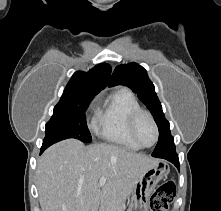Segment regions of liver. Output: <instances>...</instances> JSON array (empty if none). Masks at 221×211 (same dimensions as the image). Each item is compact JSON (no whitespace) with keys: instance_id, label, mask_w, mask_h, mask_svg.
I'll return each mask as SVG.
<instances>
[{"instance_id":"1","label":"liver","mask_w":221,"mask_h":211,"mask_svg":"<svg viewBox=\"0 0 221 211\" xmlns=\"http://www.w3.org/2000/svg\"><path fill=\"white\" fill-rule=\"evenodd\" d=\"M157 161L112 144L85 146L67 139L38 160L37 189L42 211H98L101 204L132 193L140 171ZM101 177L106 178L99 186Z\"/></svg>"}]
</instances>
